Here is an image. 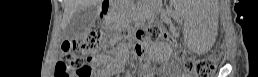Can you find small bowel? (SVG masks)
I'll use <instances>...</instances> for the list:
<instances>
[{"mask_svg":"<svg viewBox=\"0 0 258 77\" xmlns=\"http://www.w3.org/2000/svg\"><path fill=\"white\" fill-rule=\"evenodd\" d=\"M155 50H159L155 48ZM127 58V51H122L113 55H102L100 57V64L102 69L95 77H105L120 70Z\"/></svg>","mask_w":258,"mask_h":77,"instance_id":"small-bowel-1","label":"small bowel"}]
</instances>
